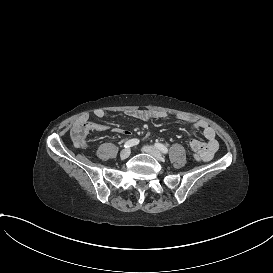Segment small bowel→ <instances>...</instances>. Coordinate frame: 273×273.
I'll use <instances>...</instances> for the list:
<instances>
[{"mask_svg":"<svg viewBox=\"0 0 273 273\" xmlns=\"http://www.w3.org/2000/svg\"><path fill=\"white\" fill-rule=\"evenodd\" d=\"M93 115L97 118H103L106 116V112L103 109H96L94 110ZM126 115L130 118L139 120H158L165 119L170 116L163 111L144 109L129 110L126 112ZM175 118L190 127L189 137H194V133L196 131H200L202 133V136L204 140L207 141L209 147L206 153L198 155L204 161L212 160L219 148L215 130L204 120L198 119L189 114H177L175 115ZM105 130L106 126L103 123H96L94 125V132L96 134H103ZM115 131L121 135L130 134V131L127 129H116Z\"/></svg>","mask_w":273,"mask_h":273,"instance_id":"obj_1","label":"small bowel"}]
</instances>
